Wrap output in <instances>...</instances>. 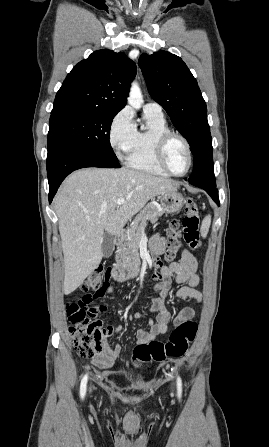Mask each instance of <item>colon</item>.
I'll return each mask as SVG.
<instances>
[{
	"label": "colon",
	"mask_w": 269,
	"mask_h": 447,
	"mask_svg": "<svg viewBox=\"0 0 269 447\" xmlns=\"http://www.w3.org/2000/svg\"><path fill=\"white\" fill-rule=\"evenodd\" d=\"M185 217L182 221L172 220L167 229L166 242L168 251L166 262H172L180 254L183 242L192 248H198L200 235V208L193 200L184 204ZM110 283L106 273H95L82 283L85 295L74 304L66 307L70 320L69 332L77 352L82 357H91L102 350L103 339L111 338V325L96 319L99 313L105 312L103 305L97 304L98 297L110 291ZM197 334V325L191 321H183L175 325L166 342H152L136 346L132 354V364L140 374H146L144 363L161 362L167 358L183 357Z\"/></svg>",
	"instance_id": "5ec220e1"
}]
</instances>
